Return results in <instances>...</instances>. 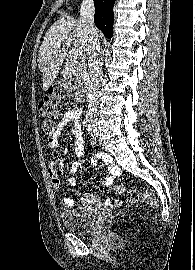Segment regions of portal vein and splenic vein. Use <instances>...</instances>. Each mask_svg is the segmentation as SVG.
<instances>
[{
	"instance_id": "portal-vein-and-splenic-vein-1",
	"label": "portal vein and splenic vein",
	"mask_w": 195,
	"mask_h": 270,
	"mask_svg": "<svg viewBox=\"0 0 195 270\" xmlns=\"http://www.w3.org/2000/svg\"><path fill=\"white\" fill-rule=\"evenodd\" d=\"M70 55L74 58H78L82 56V51L78 49H73L72 51H70Z\"/></svg>"
}]
</instances>
